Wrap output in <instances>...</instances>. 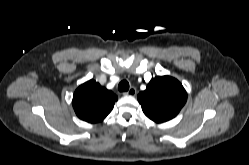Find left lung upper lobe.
Listing matches in <instances>:
<instances>
[{
  "mask_svg": "<svg viewBox=\"0 0 249 165\" xmlns=\"http://www.w3.org/2000/svg\"><path fill=\"white\" fill-rule=\"evenodd\" d=\"M144 114L154 122L162 123L174 118L187 100L182 84L171 76H157L138 94Z\"/></svg>",
  "mask_w": 249,
  "mask_h": 165,
  "instance_id": "left-lung-upper-lobe-1",
  "label": "left lung upper lobe"
}]
</instances>
